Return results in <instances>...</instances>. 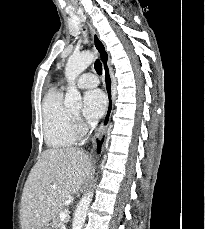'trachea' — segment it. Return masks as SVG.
I'll use <instances>...</instances> for the list:
<instances>
[{
  "label": "trachea",
  "instance_id": "obj_1",
  "mask_svg": "<svg viewBox=\"0 0 205 229\" xmlns=\"http://www.w3.org/2000/svg\"><path fill=\"white\" fill-rule=\"evenodd\" d=\"M94 68L99 75L102 74V63L98 59L94 63Z\"/></svg>",
  "mask_w": 205,
  "mask_h": 229
}]
</instances>
